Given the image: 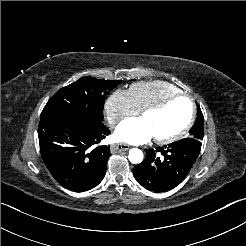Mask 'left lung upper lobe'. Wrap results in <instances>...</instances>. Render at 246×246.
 <instances>
[{"instance_id":"obj_1","label":"left lung upper lobe","mask_w":246,"mask_h":246,"mask_svg":"<svg viewBox=\"0 0 246 246\" xmlns=\"http://www.w3.org/2000/svg\"><path fill=\"white\" fill-rule=\"evenodd\" d=\"M204 135V117L198 105L196 122L189 132V137L201 141Z\"/></svg>"}]
</instances>
